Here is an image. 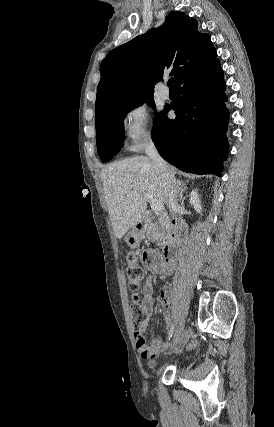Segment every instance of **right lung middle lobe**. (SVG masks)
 Returning a JSON list of instances; mask_svg holds the SVG:
<instances>
[{"label":"right lung middle lobe","mask_w":274,"mask_h":427,"mask_svg":"<svg viewBox=\"0 0 274 427\" xmlns=\"http://www.w3.org/2000/svg\"><path fill=\"white\" fill-rule=\"evenodd\" d=\"M144 101L154 107L152 95L135 96L119 101L95 115L96 143L100 159L107 162L123 147L126 114Z\"/></svg>","instance_id":"1"}]
</instances>
